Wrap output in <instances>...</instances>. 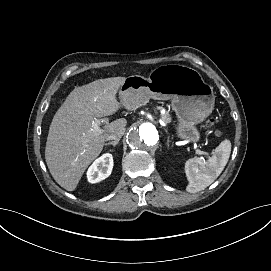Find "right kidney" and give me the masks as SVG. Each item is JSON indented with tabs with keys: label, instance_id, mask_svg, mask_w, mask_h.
<instances>
[{
	"label": "right kidney",
	"instance_id": "ca27d5eb",
	"mask_svg": "<svg viewBox=\"0 0 271 271\" xmlns=\"http://www.w3.org/2000/svg\"><path fill=\"white\" fill-rule=\"evenodd\" d=\"M113 169V157L111 154H104L97 159L87 172L88 180L97 183L107 178Z\"/></svg>",
	"mask_w": 271,
	"mask_h": 271
}]
</instances>
